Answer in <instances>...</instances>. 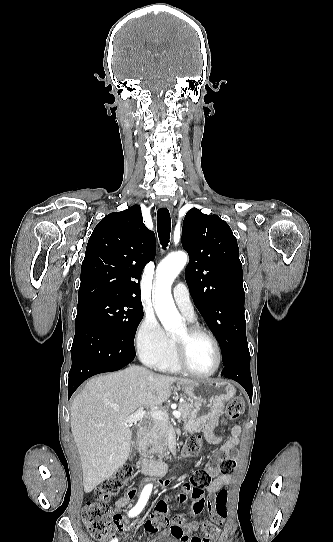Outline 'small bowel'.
I'll use <instances>...</instances> for the list:
<instances>
[{"label": "small bowel", "mask_w": 333, "mask_h": 542, "mask_svg": "<svg viewBox=\"0 0 333 542\" xmlns=\"http://www.w3.org/2000/svg\"><path fill=\"white\" fill-rule=\"evenodd\" d=\"M218 424V420L216 418H213L209 420L203 429V435L206 439V441L210 444H220L223 440L222 436L216 435L214 433V429ZM242 432V428L240 425L235 424L232 426L230 431L229 438L221 445L220 452H213L210 455V460L213 463H220V462H232L233 461V452L236 447L239 445V438ZM150 477H145V479L141 480V485H146V483L150 482ZM159 482V485L162 487H166L170 484L169 480H162L160 477L156 479ZM162 480V481H161ZM229 477L227 475H222L218 478H216L211 484L208 486L207 490L209 493L215 492L221 488H223L225 485L229 483ZM137 492L134 488H128L125 493L117 500L116 506L118 508H124L129 505V503L136 497ZM176 499L179 502L185 501V495L184 494H178L176 496ZM127 522H118L116 523V528H118L119 532H124L130 530L133 526H135V521L132 518H127ZM185 529L188 533L193 532L197 530L198 524L196 522H189L184 525Z\"/></svg>", "instance_id": "c3829d8e"}]
</instances>
